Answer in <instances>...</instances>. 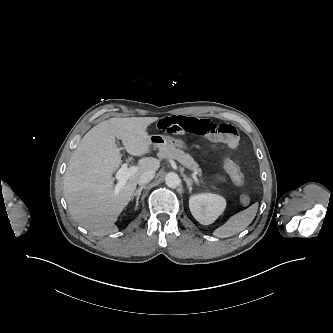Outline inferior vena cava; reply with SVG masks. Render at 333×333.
<instances>
[{
    "label": "inferior vena cava",
    "mask_w": 333,
    "mask_h": 333,
    "mask_svg": "<svg viewBox=\"0 0 333 333\" xmlns=\"http://www.w3.org/2000/svg\"><path fill=\"white\" fill-rule=\"evenodd\" d=\"M155 177V172L152 170L145 171L141 174L140 178L138 179V184L140 186H144L145 184L149 183Z\"/></svg>",
    "instance_id": "inferior-vena-cava-1"
}]
</instances>
